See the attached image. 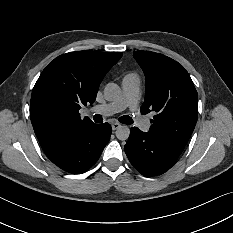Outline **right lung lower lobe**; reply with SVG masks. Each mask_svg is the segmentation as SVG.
<instances>
[{"label":"right lung lower lobe","instance_id":"98d812e1","mask_svg":"<svg viewBox=\"0 0 233 233\" xmlns=\"http://www.w3.org/2000/svg\"><path fill=\"white\" fill-rule=\"evenodd\" d=\"M111 131L109 123L95 124L42 149L62 170L83 173L96 163L110 139Z\"/></svg>","mask_w":233,"mask_h":233}]
</instances>
